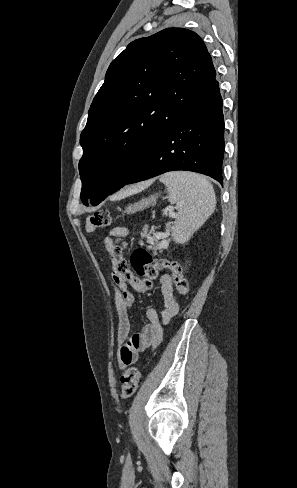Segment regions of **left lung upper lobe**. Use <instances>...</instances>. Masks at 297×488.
<instances>
[{"instance_id": "5c2ea615", "label": "left lung upper lobe", "mask_w": 297, "mask_h": 488, "mask_svg": "<svg viewBox=\"0 0 297 488\" xmlns=\"http://www.w3.org/2000/svg\"><path fill=\"white\" fill-rule=\"evenodd\" d=\"M201 38L167 28L110 64L80 135L81 200L98 205L134 176L164 136L217 87Z\"/></svg>"}]
</instances>
